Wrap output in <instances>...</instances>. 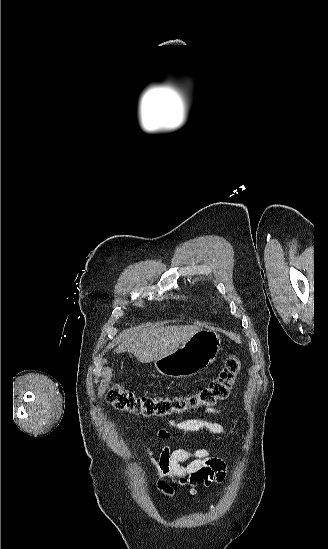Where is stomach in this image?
<instances>
[{"label": "stomach", "mask_w": 328, "mask_h": 549, "mask_svg": "<svg viewBox=\"0 0 328 549\" xmlns=\"http://www.w3.org/2000/svg\"><path fill=\"white\" fill-rule=\"evenodd\" d=\"M220 345V335L210 327H202L179 349L166 357L156 359L155 367L164 377H173V379L194 377L206 371L209 365L214 363L219 355Z\"/></svg>", "instance_id": "1"}]
</instances>
